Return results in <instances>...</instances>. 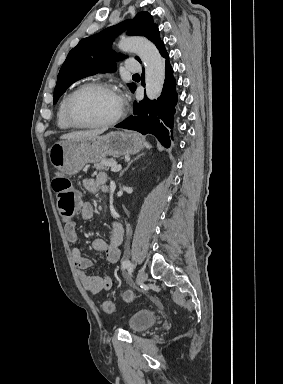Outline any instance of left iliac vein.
I'll return each mask as SVG.
<instances>
[{
	"label": "left iliac vein",
	"mask_w": 283,
	"mask_h": 384,
	"mask_svg": "<svg viewBox=\"0 0 283 384\" xmlns=\"http://www.w3.org/2000/svg\"><path fill=\"white\" fill-rule=\"evenodd\" d=\"M145 280H146L145 272L144 270L140 269L136 277V288L139 289L145 283Z\"/></svg>",
	"instance_id": "obj_1"
}]
</instances>
